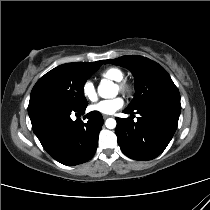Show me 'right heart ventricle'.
Returning <instances> with one entry per match:
<instances>
[{
  "label": "right heart ventricle",
  "mask_w": 210,
  "mask_h": 210,
  "mask_svg": "<svg viewBox=\"0 0 210 210\" xmlns=\"http://www.w3.org/2000/svg\"><path fill=\"white\" fill-rule=\"evenodd\" d=\"M100 76L104 80L118 82L124 78V73L119 68L108 67L100 73Z\"/></svg>",
  "instance_id": "right-heart-ventricle-1"
}]
</instances>
